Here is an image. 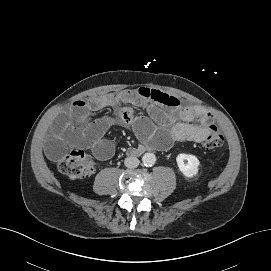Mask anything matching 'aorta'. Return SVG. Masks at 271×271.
Returning <instances> with one entry per match:
<instances>
[{
    "label": "aorta",
    "mask_w": 271,
    "mask_h": 271,
    "mask_svg": "<svg viewBox=\"0 0 271 271\" xmlns=\"http://www.w3.org/2000/svg\"><path fill=\"white\" fill-rule=\"evenodd\" d=\"M142 162L145 166H153L156 162V156L153 153H145L142 156Z\"/></svg>",
    "instance_id": "1"
}]
</instances>
